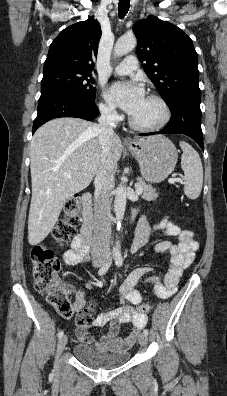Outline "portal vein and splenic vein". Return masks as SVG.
<instances>
[{
    "mask_svg": "<svg viewBox=\"0 0 227 396\" xmlns=\"http://www.w3.org/2000/svg\"><path fill=\"white\" fill-rule=\"evenodd\" d=\"M64 177L65 178H70L71 177V175L70 174H64ZM172 182H180L181 181V179L180 178H173L172 180H171ZM135 189H136V194L137 195H140V194H142V192H143V189L142 188H140L137 184L135 185Z\"/></svg>",
    "mask_w": 227,
    "mask_h": 396,
    "instance_id": "obj_1",
    "label": "portal vein and splenic vein"
}]
</instances>
